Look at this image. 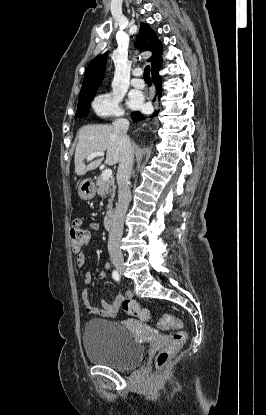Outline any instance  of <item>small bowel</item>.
I'll use <instances>...</instances> for the list:
<instances>
[{
	"label": "small bowel",
	"instance_id": "small-bowel-1",
	"mask_svg": "<svg viewBox=\"0 0 266 415\" xmlns=\"http://www.w3.org/2000/svg\"><path fill=\"white\" fill-rule=\"evenodd\" d=\"M90 227L93 230L99 229L98 223H91ZM76 263L79 267H83L86 263V256L83 252H78L76 255ZM110 269V264L105 263L104 269L99 272V279H105L107 277V273ZM83 284L85 287L89 286L92 282V276L89 272L85 273L83 276ZM132 295L130 292H126L125 294H118L117 297L111 301H102V307L97 308L92 306L90 301V294L87 288H84L81 294V300L84 306V309L87 313L94 314L97 316L105 317V318H113L117 315L121 302L124 299H131Z\"/></svg>",
	"mask_w": 266,
	"mask_h": 415
}]
</instances>
